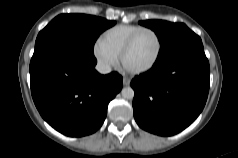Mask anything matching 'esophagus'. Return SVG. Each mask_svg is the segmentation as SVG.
Returning a JSON list of instances; mask_svg holds the SVG:
<instances>
[{
    "label": "esophagus",
    "instance_id": "esophagus-1",
    "mask_svg": "<svg viewBox=\"0 0 238 158\" xmlns=\"http://www.w3.org/2000/svg\"><path fill=\"white\" fill-rule=\"evenodd\" d=\"M123 85H124V86L130 85V79L127 78V77H124V78H123Z\"/></svg>",
    "mask_w": 238,
    "mask_h": 158
}]
</instances>
